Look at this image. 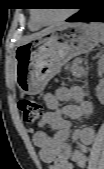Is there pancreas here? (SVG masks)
Listing matches in <instances>:
<instances>
[{"instance_id":"1","label":"pancreas","mask_w":104,"mask_h":169,"mask_svg":"<svg viewBox=\"0 0 104 169\" xmlns=\"http://www.w3.org/2000/svg\"><path fill=\"white\" fill-rule=\"evenodd\" d=\"M81 60L80 59H76L72 65L70 66V71L72 73L73 76L80 78L82 76H85L87 74V70L82 67L81 64Z\"/></svg>"}]
</instances>
